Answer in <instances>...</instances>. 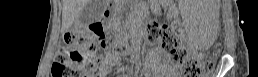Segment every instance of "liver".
I'll return each mask as SVG.
<instances>
[{
	"label": "liver",
	"instance_id": "1",
	"mask_svg": "<svg viewBox=\"0 0 258 77\" xmlns=\"http://www.w3.org/2000/svg\"><path fill=\"white\" fill-rule=\"evenodd\" d=\"M89 0H62V27L68 29L79 17Z\"/></svg>",
	"mask_w": 258,
	"mask_h": 77
}]
</instances>
